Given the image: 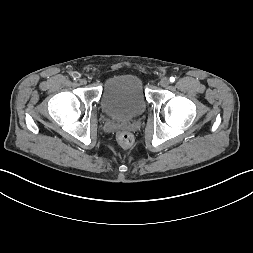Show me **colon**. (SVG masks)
I'll list each match as a JSON object with an SVG mask.
<instances>
[{
    "instance_id": "5ec220e1",
    "label": "colon",
    "mask_w": 253,
    "mask_h": 253,
    "mask_svg": "<svg viewBox=\"0 0 253 253\" xmlns=\"http://www.w3.org/2000/svg\"><path fill=\"white\" fill-rule=\"evenodd\" d=\"M117 139H118L119 143L125 147L131 146L134 142V138H133L132 134L127 131H120L117 134Z\"/></svg>"
}]
</instances>
